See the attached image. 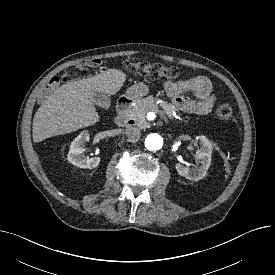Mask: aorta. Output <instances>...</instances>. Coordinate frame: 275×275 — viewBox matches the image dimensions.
Listing matches in <instances>:
<instances>
[{
	"mask_svg": "<svg viewBox=\"0 0 275 275\" xmlns=\"http://www.w3.org/2000/svg\"><path fill=\"white\" fill-rule=\"evenodd\" d=\"M163 144V137L156 133L149 134L145 139V146L150 151L160 150L163 147Z\"/></svg>",
	"mask_w": 275,
	"mask_h": 275,
	"instance_id": "obj_1",
	"label": "aorta"
}]
</instances>
